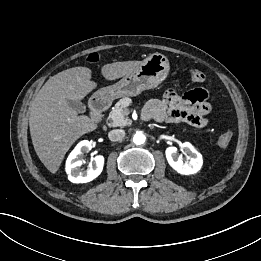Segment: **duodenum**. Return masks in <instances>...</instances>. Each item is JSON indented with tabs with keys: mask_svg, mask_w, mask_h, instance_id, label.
Returning a JSON list of instances; mask_svg holds the SVG:
<instances>
[{
	"mask_svg": "<svg viewBox=\"0 0 261 261\" xmlns=\"http://www.w3.org/2000/svg\"><path fill=\"white\" fill-rule=\"evenodd\" d=\"M110 100L107 96L100 95L95 97L90 103V109L92 114L100 119L103 112H105L110 106Z\"/></svg>",
	"mask_w": 261,
	"mask_h": 261,
	"instance_id": "obj_1",
	"label": "duodenum"
}]
</instances>
